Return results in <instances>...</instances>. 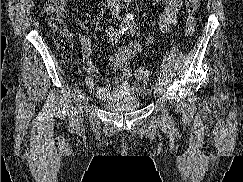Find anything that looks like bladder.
Wrapping results in <instances>:
<instances>
[{
  "instance_id": "1",
  "label": "bladder",
  "mask_w": 243,
  "mask_h": 182,
  "mask_svg": "<svg viewBox=\"0 0 243 182\" xmlns=\"http://www.w3.org/2000/svg\"><path fill=\"white\" fill-rule=\"evenodd\" d=\"M141 101L137 96H127L115 102L105 101L102 107L105 111L113 114H126L137 111Z\"/></svg>"
}]
</instances>
